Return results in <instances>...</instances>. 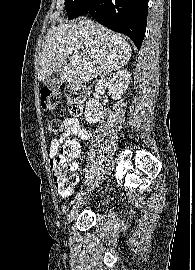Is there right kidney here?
<instances>
[{
	"instance_id": "ca27d5eb",
	"label": "right kidney",
	"mask_w": 195,
	"mask_h": 270,
	"mask_svg": "<svg viewBox=\"0 0 195 270\" xmlns=\"http://www.w3.org/2000/svg\"><path fill=\"white\" fill-rule=\"evenodd\" d=\"M131 74L127 70H119L112 76L101 79L95 85L97 94H102L109 89L113 100L121 98L125 90L128 88ZM106 109L101 106L97 98L90 99L85 107V120L89 124L97 123L105 113Z\"/></svg>"
}]
</instances>
